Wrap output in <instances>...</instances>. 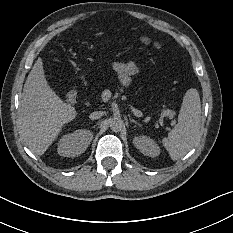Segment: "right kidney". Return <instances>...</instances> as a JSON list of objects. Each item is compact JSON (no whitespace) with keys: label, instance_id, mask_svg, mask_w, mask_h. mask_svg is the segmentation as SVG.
I'll list each match as a JSON object with an SVG mask.
<instances>
[{"label":"right kidney","instance_id":"right-kidney-1","mask_svg":"<svg viewBox=\"0 0 233 233\" xmlns=\"http://www.w3.org/2000/svg\"><path fill=\"white\" fill-rule=\"evenodd\" d=\"M93 139L89 129H78L72 134L64 135L57 144V153L63 157H75L85 152Z\"/></svg>","mask_w":233,"mask_h":233}]
</instances>
